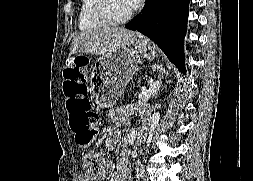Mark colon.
Here are the masks:
<instances>
[{
    "label": "colon",
    "instance_id": "1",
    "mask_svg": "<svg viewBox=\"0 0 253 181\" xmlns=\"http://www.w3.org/2000/svg\"><path fill=\"white\" fill-rule=\"evenodd\" d=\"M64 95L69 116V127L80 146H89L98 134L99 118L92 109L80 63L74 58L73 64L64 70ZM107 163L102 150H89L83 156V168L89 175L100 173Z\"/></svg>",
    "mask_w": 253,
    "mask_h": 181
}]
</instances>
